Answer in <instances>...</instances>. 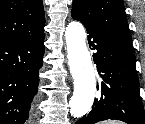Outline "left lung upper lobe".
<instances>
[{
    "label": "left lung upper lobe",
    "instance_id": "obj_1",
    "mask_svg": "<svg viewBox=\"0 0 145 124\" xmlns=\"http://www.w3.org/2000/svg\"><path fill=\"white\" fill-rule=\"evenodd\" d=\"M71 14L86 27L132 51L122 0H74Z\"/></svg>",
    "mask_w": 145,
    "mask_h": 124
}]
</instances>
